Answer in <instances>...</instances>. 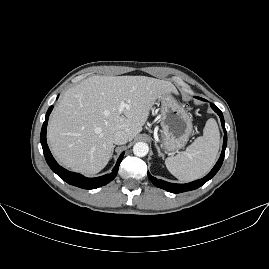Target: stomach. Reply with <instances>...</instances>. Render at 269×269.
<instances>
[{"mask_svg":"<svg viewBox=\"0 0 269 269\" xmlns=\"http://www.w3.org/2000/svg\"><path fill=\"white\" fill-rule=\"evenodd\" d=\"M157 103L162 114V146L173 152L183 148L192 133V117L170 94L160 95Z\"/></svg>","mask_w":269,"mask_h":269,"instance_id":"obj_1","label":"stomach"}]
</instances>
